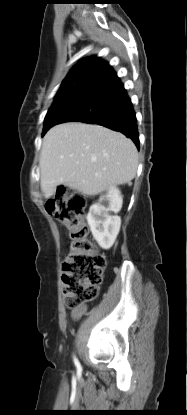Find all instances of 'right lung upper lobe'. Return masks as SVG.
<instances>
[{
  "instance_id": "obj_1",
  "label": "right lung upper lobe",
  "mask_w": 187,
  "mask_h": 415,
  "mask_svg": "<svg viewBox=\"0 0 187 415\" xmlns=\"http://www.w3.org/2000/svg\"><path fill=\"white\" fill-rule=\"evenodd\" d=\"M106 64L108 63L97 57H89V58L82 59L77 65H75L71 69L67 77L62 82L61 87L56 94L54 103L59 102L62 99H65L68 93L70 92V90L75 86V84L80 79L84 78L88 74L103 67ZM61 105L62 104H59L56 107V109L59 108Z\"/></svg>"
}]
</instances>
